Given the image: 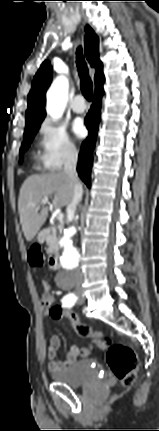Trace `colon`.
Returning <instances> with one entry per match:
<instances>
[{"label": "colon", "instance_id": "colon-1", "mask_svg": "<svg viewBox=\"0 0 159 431\" xmlns=\"http://www.w3.org/2000/svg\"><path fill=\"white\" fill-rule=\"evenodd\" d=\"M43 256L39 249L33 248L29 252V261L32 265H41ZM53 296L46 297V304L49 309H52L51 321L59 322L60 324L73 325L77 334L82 338H94L92 342L96 343L98 350L106 351V361L112 374L124 386H130L136 378V371L139 366V358L134 349L127 343L108 344L100 339L101 335L95 332L87 324L80 322L81 314L76 309H67L61 301L54 302ZM89 348V349H88ZM92 348L95 345H86V348L79 349L80 358H89Z\"/></svg>", "mask_w": 159, "mask_h": 431}]
</instances>
